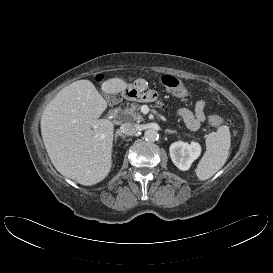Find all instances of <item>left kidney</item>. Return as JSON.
I'll return each mask as SVG.
<instances>
[{
  "instance_id": "1",
  "label": "left kidney",
  "mask_w": 273,
  "mask_h": 273,
  "mask_svg": "<svg viewBox=\"0 0 273 273\" xmlns=\"http://www.w3.org/2000/svg\"><path fill=\"white\" fill-rule=\"evenodd\" d=\"M169 153L172 162L177 168L186 171L191 167V164L196 160L201 153V146L197 142L177 141L171 144Z\"/></svg>"
}]
</instances>
